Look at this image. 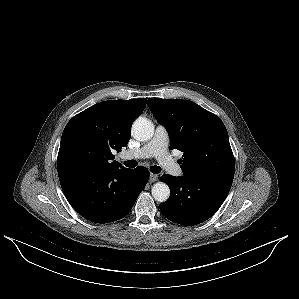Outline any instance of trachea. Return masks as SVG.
<instances>
[{
    "mask_svg": "<svg viewBox=\"0 0 299 299\" xmlns=\"http://www.w3.org/2000/svg\"><path fill=\"white\" fill-rule=\"evenodd\" d=\"M124 165L129 168H134L137 165V162L135 160H128L124 162ZM150 171L154 174H158L161 171V168L159 166H151Z\"/></svg>",
    "mask_w": 299,
    "mask_h": 299,
    "instance_id": "1",
    "label": "trachea"
}]
</instances>
